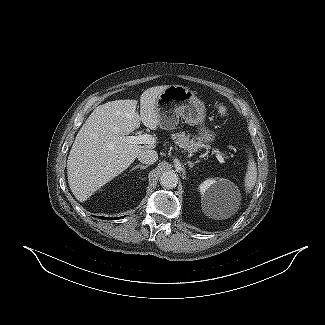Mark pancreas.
Segmentation results:
<instances>
[{
	"instance_id": "1",
	"label": "pancreas",
	"mask_w": 325,
	"mask_h": 325,
	"mask_svg": "<svg viewBox=\"0 0 325 325\" xmlns=\"http://www.w3.org/2000/svg\"><path fill=\"white\" fill-rule=\"evenodd\" d=\"M190 136V134H186L185 132H179L172 134L171 138L174 140L175 144H177L180 148H183L188 153L196 152L205 146L200 141L190 139Z\"/></svg>"
}]
</instances>
